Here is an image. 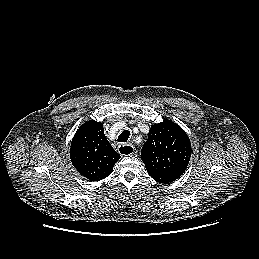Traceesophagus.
I'll return each instance as SVG.
<instances>
[{
	"label": "esophagus",
	"instance_id": "esophagus-1",
	"mask_svg": "<svg viewBox=\"0 0 259 259\" xmlns=\"http://www.w3.org/2000/svg\"><path fill=\"white\" fill-rule=\"evenodd\" d=\"M118 152L122 156H131L135 153V148L131 144H121L118 146Z\"/></svg>",
	"mask_w": 259,
	"mask_h": 259
}]
</instances>
